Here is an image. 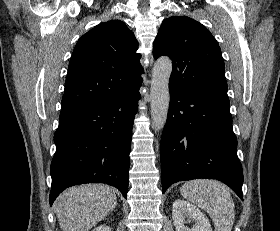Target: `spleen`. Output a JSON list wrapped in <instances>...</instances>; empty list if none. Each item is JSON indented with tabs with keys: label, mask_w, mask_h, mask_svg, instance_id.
Instances as JSON below:
<instances>
[{
	"label": "spleen",
	"mask_w": 280,
	"mask_h": 231,
	"mask_svg": "<svg viewBox=\"0 0 280 231\" xmlns=\"http://www.w3.org/2000/svg\"><path fill=\"white\" fill-rule=\"evenodd\" d=\"M180 193L209 213L215 231H231L235 219V205L224 183L215 179H191L180 187Z\"/></svg>",
	"instance_id": "1"
}]
</instances>
